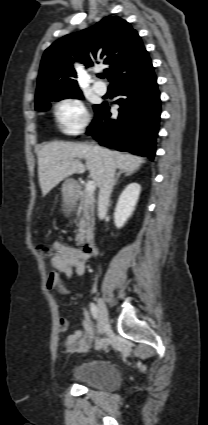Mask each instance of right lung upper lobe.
I'll return each mask as SVG.
<instances>
[{
    "instance_id": "right-lung-upper-lobe-1",
    "label": "right lung upper lobe",
    "mask_w": 208,
    "mask_h": 425,
    "mask_svg": "<svg viewBox=\"0 0 208 425\" xmlns=\"http://www.w3.org/2000/svg\"><path fill=\"white\" fill-rule=\"evenodd\" d=\"M147 56L137 31L127 21L117 16L105 17L88 29L60 38L46 49L38 75L36 102L51 93L79 91L74 62L86 67L106 64L105 74L112 81Z\"/></svg>"
}]
</instances>
